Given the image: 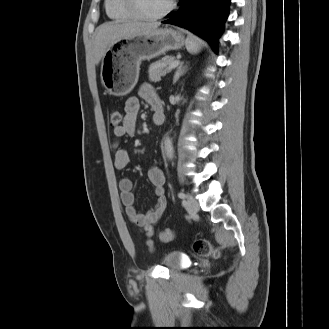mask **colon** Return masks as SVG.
Returning <instances> with one entry per match:
<instances>
[{"instance_id": "obj_1", "label": "colon", "mask_w": 329, "mask_h": 329, "mask_svg": "<svg viewBox=\"0 0 329 329\" xmlns=\"http://www.w3.org/2000/svg\"><path fill=\"white\" fill-rule=\"evenodd\" d=\"M124 121V115L119 109H113L110 113V124L113 127L122 125ZM175 232L172 228H164L160 231L159 238L163 242H170L174 239ZM194 251L197 255L202 257L213 256L219 257V252L214 250L212 245L207 239L199 238L194 241Z\"/></svg>"}]
</instances>
